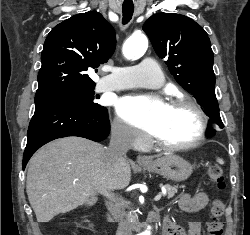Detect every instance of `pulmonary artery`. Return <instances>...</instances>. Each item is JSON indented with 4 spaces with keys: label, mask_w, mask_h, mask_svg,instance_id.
<instances>
[{
    "label": "pulmonary artery",
    "mask_w": 250,
    "mask_h": 235,
    "mask_svg": "<svg viewBox=\"0 0 250 235\" xmlns=\"http://www.w3.org/2000/svg\"><path fill=\"white\" fill-rule=\"evenodd\" d=\"M163 80L164 77L157 62L146 59L132 67L112 69L111 74L102 78L99 85L104 90L158 88Z\"/></svg>",
    "instance_id": "1"
}]
</instances>
